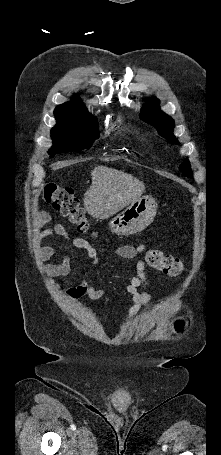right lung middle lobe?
I'll return each mask as SVG.
<instances>
[{
  "label": "right lung middle lobe",
  "mask_w": 221,
  "mask_h": 455,
  "mask_svg": "<svg viewBox=\"0 0 221 455\" xmlns=\"http://www.w3.org/2000/svg\"><path fill=\"white\" fill-rule=\"evenodd\" d=\"M51 136L54 146L49 154L53 157L54 153L78 152L90 148L93 141L99 137V132L95 119L87 122L57 119V124L51 130Z\"/></svg>",
  "instance_id": "1"
}]
</instances>
